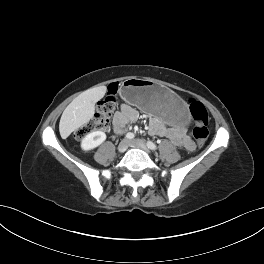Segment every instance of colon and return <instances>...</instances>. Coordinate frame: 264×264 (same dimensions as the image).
I'll return each mask as SVG.
<instances>
[{
	"instance_id": "1",
	"label": "colon",
	"mask_w": 264,
	"mask_h": 264,
	"mask_svg": "<svg viewBox=\"0 0 264 264\" xmlns=\"http://www.w3.org/2000/svg\"><path fill=\"white\" fill-rule=\"evenodd\" d=\"M116 92L117 85H109L107 96L98 103L95 115L86 125L76 131L75 138L80 139L92 131L101 130L108 126L110 118L116 109ZM189 109L194 123L193 137L198 145H202L209 135L207 110L201 102L196 100L190 102Z\"/></svg>"
}]
</instances>
